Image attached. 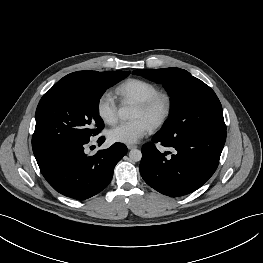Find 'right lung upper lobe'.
Returning a JSON list of instances; mask_svg holds the SVG:
<instances>
[{
  "instance_id": "obj_1",
  "label": "right lung upper lobe",
  "mask_w": 263,
  "mask_h": 263,
  "mask_svg": "<svg viewBox=\"0 0 263 263\" xmlns=\"http://www.w3.org/2000/svg\"><path fill=\"white\" fill-rule=\"evenodd\" d=\"M93 71H78V72H73L71 74L66 75L65 77H63L59 83L62 82H78L82 79H84L85 77H87L88 75H90Z\"/></svg>"
}]
</instances>
